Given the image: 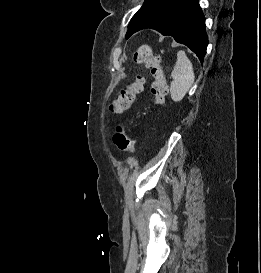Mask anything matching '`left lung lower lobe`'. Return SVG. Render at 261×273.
I'll use <instances>...</instances> for the list:
<instances>
[{"label": "left lung lower lobe", "instance_id": "left-lung-lower-lobe-1", "mask_svg": "<svg viewBox=\"0 0 261 273\" xmlns=\"http://www.w3.org/2000/svg\"><path fill=\"white\" fill-rule=\"evenodd\" d=\"M145 28L172 36L176 42L189 47L203 62L208 38L198 0H167L155 6L129 27L126 38Z\"/></svg>", "mask_w": 261, "mask_h": 273}]
</instances>
